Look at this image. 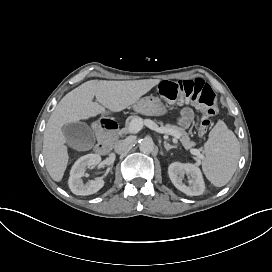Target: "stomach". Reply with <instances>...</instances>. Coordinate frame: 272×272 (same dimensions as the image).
<instances>
[{"mask_svg":"<svg viewBox=\"0 0 272 272\" xmlns=\"http://www.w3.org/2000/svg\"><path fill=\"white\" fill-rule=\"evenodd\" d=\"M133 109L137 113L147 116H159L167 112L166 107L161 100L154 96H146L138 99L133 104Z\"/></svg>","mask_w":272,"mask_h":272,"instance_id":"stomach-1","label":"stomach"}]
</instances>
